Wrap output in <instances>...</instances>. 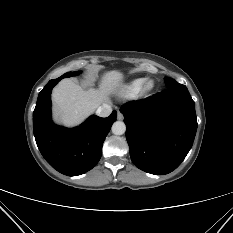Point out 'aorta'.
Returning <instances> with one entry per match:
<instances>
[{
	"mask_svg": "<svg viewBox=\"0 0 233 233\" xmlns=\"http://www.w3.org/2000/svg\"><path fill=\"white\" fill-rule=\"evenodd\" d=\"M111 130L114 135H123L126 131V125L122 121H116L113 123Z\"/></svg>",
	"mask_w": 233,
	"mask_h": 233,
	"instance_id": "1",
	"label": "aorta"
}]
</instances>
